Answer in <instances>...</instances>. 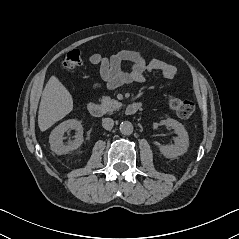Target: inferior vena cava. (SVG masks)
<instances>
[{
  "label": "inferior vena cava",
  "mask_w": 239,
  "mask_h": 239,
  "mask_svg": "<svg viewBox=\"0 0 239 239\" xmlns=\"http://www.w3.org/2000/svg\"><path fill=\"white\" fill-rule=\"evenodd\" d=\"M102 126L106 130H111L114 126V121L111 118L102 119Z\"/></svg>",
  "instance_id": "inferior-vena-cava-1"
}]
</instances>
